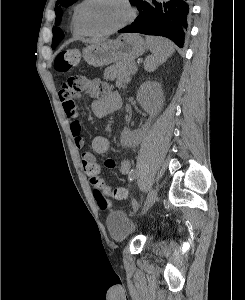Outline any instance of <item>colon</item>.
<instances>
[{
    "label": "colon",
    "mask_w": 245,
    "mask_h": 300,
    "mask_svg": "<svg viewBox=\"0 0 245 300\" xmlns=\"http://www.w3.org/2000/svg\"><path fill=\"white\" fill-rule=\"evenodd\" d=\"M79 60L80 54L77 50L70 49L62 51L55 58L54 69L59 74H67L72 68L78 65ZM65 86L72 92H79L82 89L79 79L73 77L66 80ZM92 184L94 197L102 210L110 206V202L107 199L108 196H112L116 199H126L128 197V191L125 188L111 189L97 176L92 178Z\"/></svg>",
    "instance_id": "colon-1"
}]
</instances>
